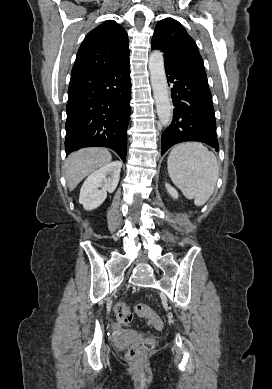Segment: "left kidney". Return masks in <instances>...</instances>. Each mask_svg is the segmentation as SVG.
<instances>
[{
    "label": "left kidney",
    "mask_w": 272,
    "mask_h": 389,
    "mask_svg": "<svg viewBox=\"0 0 272 389\" xmlns=\"http://www.w3.org/2000/svg\"><path fill=\"white\" fill-rule=\"evenodd\" d=\"M166 186V189H167V192L174 198V199H177L178 198V192L177 190L172 187L170 184L166 183L165 184Z\"/></svg>",
    "instance_id": "obj_1"
}]
</instances>
